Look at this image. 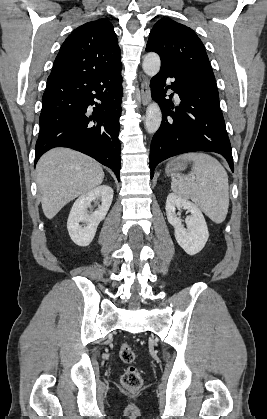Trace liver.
<instances>
[{"label": "liver", "instance_id": "1", "mask_svg": "<svg viewBox=\"0 0 267 419\" xmlns=\"http://www.w3.org/2000/svg\"><path fill=\"white\" fill-rule=\"evenodd\" d=\"M36 172L42 209L48 219L104 179V171L97 161L68 148H54L45 153L37 163Z\"/></svg>", "mask_w": 267, "mask_h": 419}]
</instances>
